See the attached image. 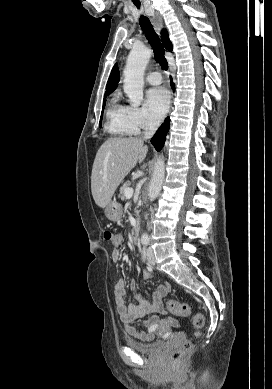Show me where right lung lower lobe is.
<instances>
[{
  "instance_id": "right-lung-lower-lobe-1",
  "label": "right lung lower lobe",
  "mask_w": 272,
  "mask_h": 389,
  "mask_svg": "<svg viewBox=\"0 0 272 389\" xmlns=\"http://www.w3.org/2000/svg\"><path fill=\"white\" fill-rule=\"evenodd\" d=\"M171 87L174 89V85L172 82H171ZM169 128H170V118L168 117L151 139V143L154 145L157 151H160L162 149Z\"/></svg>"
}]
</instances>
